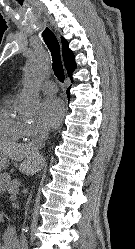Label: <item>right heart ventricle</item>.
<instances>
[{
	"mask_svg": "<svg viewBox=\"0 0 135 249\" xmlns=\"http://www.w3.org/2000/svg\"><path fill=\"white\" fill-rule=\"evenodd\" d=\"M15 101L6 98L0 105V140L5 142H17L26 136V124H24L14 112Z\"/></svg>",
	"mask_w": 135,
	"mask_h": 249,
	"instance_id": "e07e8e85",
	"label": "right heart ventricle"
}]
</instances>
